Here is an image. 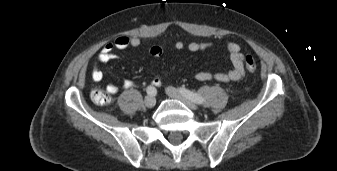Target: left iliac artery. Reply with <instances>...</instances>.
Segmentation results:
<instances>
[{"mask_svg": "<svg viewBox=\"0 0 337 171\" xmlns=\"http://www.w3.org/2000/svg\"><path fill=\"white\" fill-rule=\"evenodd\" d=\"M181 93L194 103L202 104L204 102V99L200 95L191 92L190 90L182 88Z\"/></svg>", "mask_w": 337, "mask_h": 171, "instance_id": "1", "label": "left iliac artery"}]
</instances>
